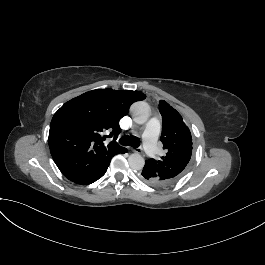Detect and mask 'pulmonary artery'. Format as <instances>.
I'll return each instance as SVG.
<instances>
[{"label": "pulmonary artery", "mask_w": 265, "mask_h": 265, "mask_svg": "<svg viewBox=\"0 0 265 265\" xmlns=\"http://www.w3.org/2000/svg\"><path fill=\"white\" fill-rule=\"evenodd\" d=\"M146 128L149 129L148 131L145 132V140L147 141V152L148 153H155L156 152V149H157V135H158V123L154 120H147L146 121Z\"/></svg>", "instance_id": "pulmonary-artery-1"}]
</instances>
